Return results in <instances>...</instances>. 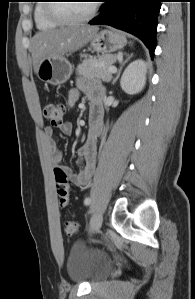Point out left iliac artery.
<instances>
[{"instance_id": "44dca946", "label": "left iliac artery", "mask_w": 195, "mask_h": 299, "mask_svg": "<svg viewBox=\"0 0 195 299\" xmlns=\"http://www.w3.org/2000/svg\"><path fill=\"white\" fill-rule=\"evenodd\" d=\"M91 203V199L90 198H86L85 200H84V204L85 205H89ZM91 229V228H90Z\"/></svg>"}]
</instances>
